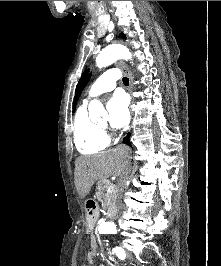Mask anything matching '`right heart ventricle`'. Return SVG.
Listing matches in <instances>:
<instances>
[{
  "instance_id": "1",
  "label": "right heart ventricle",
  "mask_w": 221,
  "mask_h": 266,
  "mask_svg": "<svg viewBox=\"0 0 221 266\" xmlns=\"http://www.w3.org/2000/svg\"><path fill=\"white\" fill-rule=\"evenodd\" d=\"M73 137L76 149L86 155L100 153L109 144V140L100 125L90 120L85 105L76 112Z\"/></svg>"
}]
</instances>
